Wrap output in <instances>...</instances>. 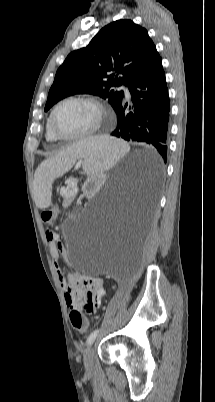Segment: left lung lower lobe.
<instances>
[{"instance_id":"1","label":"left lung lower lobe","mask_w":215,"mask_h":402,"mask_svg":"<svg viewBox=\"0 0 215 402\" xmlns=\"http://www.w3.org/2000/svg\"><path fill=\"white\" fill-rule=\"evenodd\" d=\"M128 89L133 106L129 107L128 112V104L122 99L115 109L117 127L111 135L126 141L152 145L166 162L170 105L161 57L134 76ZM162 172L163 168L158 161L156 169L146 174L150 186L155 187Z\"/></svg>"}]
</instances>
